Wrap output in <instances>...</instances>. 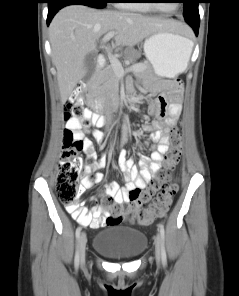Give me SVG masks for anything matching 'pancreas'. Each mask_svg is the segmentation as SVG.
I'll use <instances>...</instances> for the list:
<instances>
[{
	"label": "pancreas",
	"instance_id": "obj_1",
	"mask_svg": "<svg viewBox=\"0 0 239 296\" xmlns=\"http://www.w3.org/2000/svg\"><path fill=\"white\" fill-rule=\"evenodd\" d=\"M139 53L134 50H128L125 52V57L133 60ZM139 65L144 66V70L138 72V76H142L145 78H150L152 75V70L149 63L144 62ZM119 91V77L114 72L112 66L107 67L102 73L99 75L97 79V86L94 90L95 94L99 95L101 98L104 97H114L118 94Z\"/></svg>",
	"mask_w": 239,
	"mask_h": 296
}]
</instances>
